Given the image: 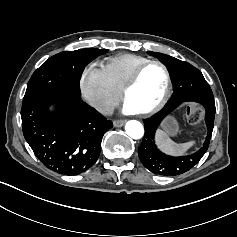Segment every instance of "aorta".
I'll use <instances>...</instances> for the list:
<instances>
[{"label": "aorta", "instance_id": "762f6f07", "mask_svg": "<svg viewBox=\"0 0 237 237\" xmlns=\"http://www.w3.org/2000/svg\"><path fill=\"white\" fill-rule=\"evenodd\" d=\"M126 134L133 139H140L144 135V127L137 120H130L125 125Z\"/></svg>", "mask_w": 237, "mask_h": 237}]
</instances>
